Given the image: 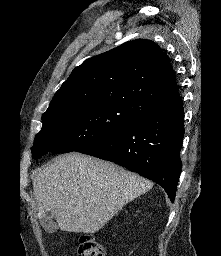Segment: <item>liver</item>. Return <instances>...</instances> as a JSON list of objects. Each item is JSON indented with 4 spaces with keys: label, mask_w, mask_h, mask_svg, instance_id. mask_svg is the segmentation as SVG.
Returning <instances> with one entry per match:
<instances>
[{
    "label": "liver",
    "mask_w": 221,
    "mask_h": 256,
    "mask_svg": "<svg viewBox=\"0 0 221 256\" xmlns=\"http://www.w3.org/2000/svg\"><path fill=\"white\" fill-rule=\"evenodd\" d=\"M152 185L114 163L75 152L38 169L33 192L39 218L51 211L60 230L92 234Z\"/></svg>",
    "instance_id": "obj_1"
}]
</instances>
